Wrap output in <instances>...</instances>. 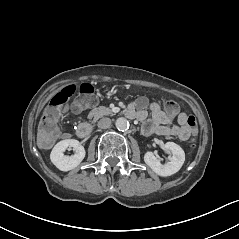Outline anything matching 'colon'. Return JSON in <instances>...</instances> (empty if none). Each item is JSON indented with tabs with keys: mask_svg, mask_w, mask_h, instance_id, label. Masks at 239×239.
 <instances>
[{
	"mask_svg": "<svg viewBox=\"0 0 239 239\" xmlns=\"http://www.w3.org/2000/svg\"><path fill=\"white\" fill-rule=\"evenodd\" d=\"M76 91H78V96L74 103L76 111H81L95 103L94 89L90 84L83 83L78 89L75 85H69L61 89L50 99L40 121L39 139L43 145H48L52 141L57 132L59 117L70 97L74 95ZM165 111L168 115L175 116L179 112L178 103L173 100H168L165 103ZM187 125L194 135L197 130V123L194 116H188ZM191 146H194V139L191 140Z\"/></svg>",
	"mask_w": 239,
	"mask_h": 239,
	"instance_id": "1",
	"label": "colon"
}]
</instances>
